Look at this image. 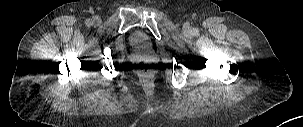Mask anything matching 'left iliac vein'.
<instances>
[{
    "mask_svg": "<svg viewBox=\"0 0 303 127\" xmlns=\"http://www.w3.org/2000/svg\"><path fill=\"white\" fill-rule=\"evenodd\" d=\"M184 31L186 32V33H190V29H189V27H184Z\"/></svg>",
    "mask_w": 303,
    "mask_h": 127,
    "instance_id": "obj_1",
    "label": "left iliac vein"
}]
</instances>
